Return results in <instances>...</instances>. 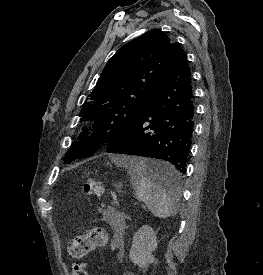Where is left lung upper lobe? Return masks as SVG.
<instances>
[{
    "instance_id": "left-lung-upper-lobe-1",
    "label": "left lung upper lobe",
    "mask_w": 263,
    "mask_h": 275,
    "mask_svg": "<svg viewBox=\"0 0 263 275\" xmlns=\"http://www.w3.org/2000/svg\"><path fill=\"white\" fill-rule=\"evenodd\" d=\"M182 49L159 29L147 31L107 62L83 104L82 121L91 122L67 153L65 163L92 155L101 144L120 138L136 124L163 81L175 52Z\"/></svg>"
}]
</instances>
